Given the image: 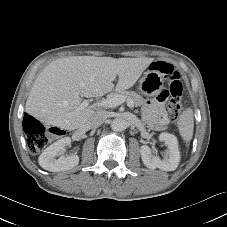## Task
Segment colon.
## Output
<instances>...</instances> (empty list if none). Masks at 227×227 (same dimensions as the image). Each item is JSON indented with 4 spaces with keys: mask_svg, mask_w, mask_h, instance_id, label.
I'll return each instance as SVG.
<instances>
[{
    "mask_svg": "<svg viewBox=\"0 0 227 227\" xmlns=\"http://www.w3.org/2000/svg\"><path fill=\"white\" fill-rule=\"evenodd\" d=\"M152 69L158 70L164 74L169 82L168 90L171 92V97L168 102V111L171 119L176 121L183 111V86L180 79V73L176 71L172 65L161 61L153 63ZM23 126L27 135L28 148L33 153L42 150L47 145L49 131L55 132L52 129H47L41 122L32 116H27L24 119Z\"/></svg>",
    "mask_w": 227,
    "mask_h": 227,
    "instance_id": "5ec220e1",
    "label": "colon"
}]
</instances>
